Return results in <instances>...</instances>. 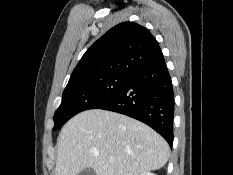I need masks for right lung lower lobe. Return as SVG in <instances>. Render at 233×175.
<instances>
[{
  "label": "right lung lower lobe",
  "instance_id": "98d812e1",
  "mask_svg": "<svg viewBox=\"0 0 233 175\" xmlns=\"http://www.w3.org/2000/svg\"><path fill=\"white\" fill-rule=\"evenodd\" d=\"M97 108L121 113L149 125L172 147L174 93L164 57L134 73L112 99Z\"/></svg>",
  "mask_w": 233,
  "mask_h": 175
}]
</instances>
